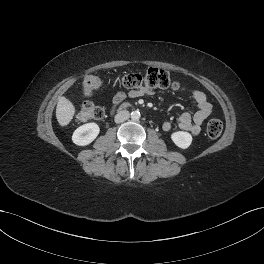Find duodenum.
I'll list each match as a JSON object with an SVG mask.
<instances>
[{"instance_id": "1", "label": "duodenum", "mask_w": 264, "mask_h": 264, "mask_svg": "<svg viewBox=\"0 0 264 264\" xmlns=\"http://www.w3.org/2000/svg\"><path fill=\"white\" fill-rule=\"evenodd\" d=\"M126 107H127V104H123V105L120 106L119 110H122V109H124Z\"/></svg>"}]
</instances>
